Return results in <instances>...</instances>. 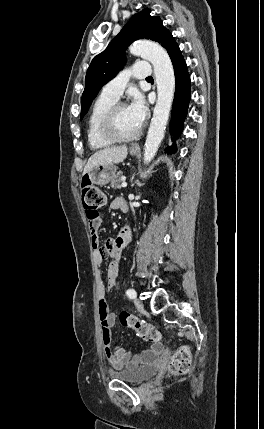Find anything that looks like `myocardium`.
Wrapping results in <instances>:
<instances>
[{"label":"myocardium","instance_id":"obj_1","mask_svg":"<svg viewBox=\"0 0 264 429\" xmlns=\"http://www.w3.org/2000/svg\"><path fill=\"white\" fill-rule=\"evenodd\" d=\"M127 107L126 103L124 102H115L106 112L104 115L101 125H100V131L102 136L113 142V143H122V142H130L133 140H136L142 133V126L140 125L139 129L130 136H122L120 135L115 126V120L118 111L123 108Z\"/></svg>","mask_w":264,"mask_h":429}]
</instances>
